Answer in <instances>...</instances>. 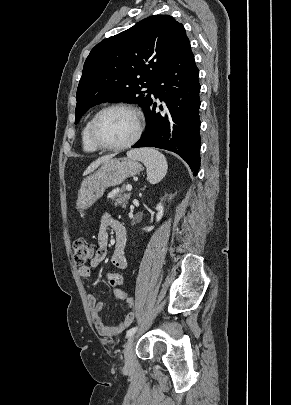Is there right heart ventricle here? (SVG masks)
<instances>
[{"label":"right heart ventricle","mask_w":291,"mask_h":405,"mask_svg":"<svg viewBox=\"0 0 291 405\" xmlns=\"http://www.w3.org/2000/svg\"><path fill=\"white\" fill-rule=\"evenodd\" d=\"M91 120H88L81 131V145H82V149L84 152L86 153H94L96 152L98 149L91 143L90 139H89V124H90Z\"/></svg>","instance_id":"e07e8e85"}]
</instances>
